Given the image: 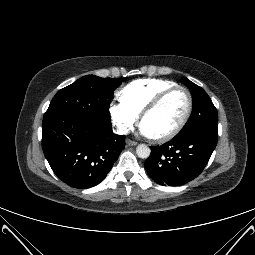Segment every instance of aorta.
I'll list each match as a JSON object with an SVG mask.
<instances>
[{
	"instance_id": "obj_1",
	"label": "aorta",
	"mask_w": 255,
	"mask_h": 255,
	"mask_svg": "<svg viewBox=\"0 0 255 255\" xmlns=\"http://www.w3.org/2000/svg\"><path fill=\"white\" fill-rule=\"evenodd\" d=\"M136 153L139 158L146 159L150 156L151 150L147 145L140 144L136 148Z\"/></svg>"
}]
</instances>
